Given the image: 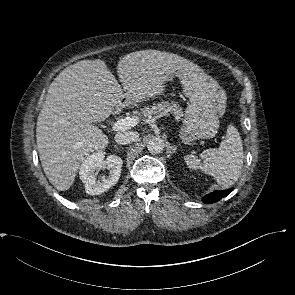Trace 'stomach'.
<instances>
[{
	"label": "stomach",
	"instance_id": "stomach-1",
	"mask_svg": "<svg viewBox=\"0 0 295 295\" xmlns=\"http://www.w3.org/2000/svg\"><path fill=\"white\" fill-rule=\"evenodd\" d=\"M174 76L179 78L183 93L190 100L180 129L182 140L190 143L198 139L213 138L219 129V117L225 110V91L203 71L172 74L166 78V82Z\"/></svg>",
	"mask_w": 295,
	"mask_h": 295
}]
</instances>
